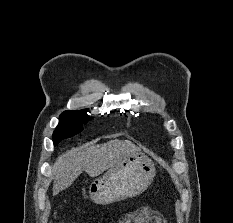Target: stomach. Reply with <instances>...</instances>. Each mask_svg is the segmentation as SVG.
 <instances>
[{"label":"stomach","instance_id":"1","mask_svg":"<svg viewBox=\"0 0 233 223\" xmlns=\"http://www.w3.org/2000/svg\"><path fill=\"white\" fill-rule=\"evenodd\" d=\"M155 175L152 159L137 147L135 151L124 153L103 175L91 181L89 197L99 205L137 197L148 189Z\"/></svg>","mask_w":233,"mask_h":223}]
</instances>
